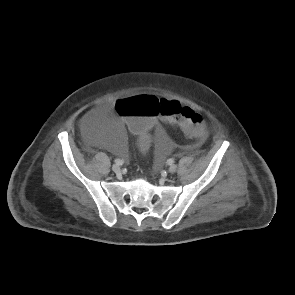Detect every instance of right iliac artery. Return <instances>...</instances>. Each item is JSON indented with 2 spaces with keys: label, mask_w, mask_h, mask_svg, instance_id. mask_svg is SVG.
<instances>
[{
  "label": "right iliac artery",
  "mask_w": 295,
  "mask_h": 295,
  "mask_svg": "<svg viewBox=\"0 0 295 295\" xmlns=\"http://www.w3.org/2000/svg\"><path fill=\"white\" fill-rule=\"evenodd\" d=\"M115 163L118 164V165H122V164H123V160H121V159H116V160H115Z\"/></svg>",
  "instance_id": "82829eb1"
}]
</instances>
